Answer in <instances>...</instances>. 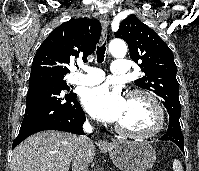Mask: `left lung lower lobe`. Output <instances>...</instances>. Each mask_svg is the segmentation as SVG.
Returning <instances> with one entry per match:
<instances>
[{
	"mask_svg": "<svg viewBox=\"0 0 199 171\" xmlns=\"http://www.w3.org/2000/svg\"><path fill=\"white\" fill-rule=\"evenodd\" d=\"M160 140L172 141L184 152V138L181 131L179 116L170 115L167 132L160 138Z\"/></svg>",
	"mask_w": 199,
	"mask_h": 171,
	"instance_id": "obj_1",
	"label": "left lung lower lobe"
}]
</instances>
